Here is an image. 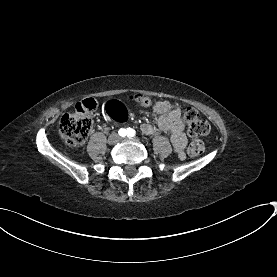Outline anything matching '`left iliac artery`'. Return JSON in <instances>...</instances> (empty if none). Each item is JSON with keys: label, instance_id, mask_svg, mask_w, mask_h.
I'll return each mask as SVG.
<instances>
[{"label": "left iliac artery", "instance_id": "left-iliac-artery-1", "mask_svg": "<svg viewBox=\"0 0 277 277\" xmlns=\"http://www.w3.org/2000/svg\"><path fill=\"white\" fill-rule=\"evenodd\" d=\"M135 136V131L131 128L128 129V137H133Z\"/></svg>", "mask_w": 277, "mask_h": 277}]
</instances>
